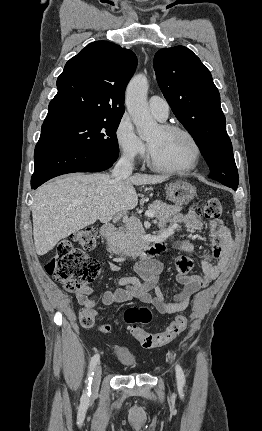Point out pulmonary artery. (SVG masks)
I'll return each mask as SVG.
<instances>
[{
	"label": "pulmonary artery",
	"instance_id": "1",
	"mask_svg": "<svg viewBox=\"0 0 262 431\" xmlns=\"http://www.w3.org/2000/svg\"><path fill=\"white\" fill-rule=\"evenodd\" d=\"M151 113L160 121L167 119L169 115V105L166 100L159 96H151L148 101Z\"/></svg>",
	"mask_w": 262,
	"mask_h": 431
}]
</instances>
